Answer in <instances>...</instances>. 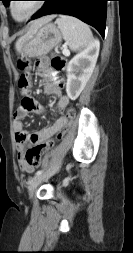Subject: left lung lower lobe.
<instances>
[{"mask_svg": "<svg viewBox=\"0 0 133 253\" xmlns=\"http://www.w3.org/2000/svg\"><path fill=\"white\" fill-rule=\"evenodd\" d=\"M43 7L32 17L49 14H66L77 17L83 22L93 26L101 34L105 35L106 2L108 0H42Z\"/></svg>", "mask_w": 133, "mask_h": 253, "instance_id": "obj_1", "label": "left lung lower lobe"}]
</instances>
